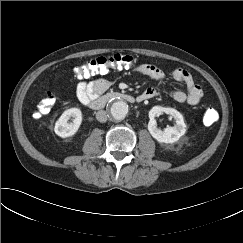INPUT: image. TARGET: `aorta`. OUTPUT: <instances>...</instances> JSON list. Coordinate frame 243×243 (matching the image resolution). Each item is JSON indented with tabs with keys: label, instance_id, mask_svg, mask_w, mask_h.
I'll return each mask as SVG.
<instances>
[{
	"label": "aorta",
	"instance_id": "1",
	"mask_svg": "<svg viewBox=\"0 0 243 243\" xmlns=\"http://www.w3.org/2000/svg\"><path fill=\"white\" fill-rule=\"evenodd\" d=\"M128 113V104L123 100H115L110 106V114L116 120H122Z\"/></svg>",
	"mask_w": 243,
	"mask_h": 243
}]
</instances>
